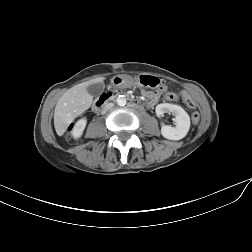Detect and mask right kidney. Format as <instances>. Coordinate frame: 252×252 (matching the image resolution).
<instances>
[{
	"instance_id": "obj_1",
	"label": "right kidney",
	"mask_w": 252,
	"mask_h": 252,
	"mask_svg": "<svg viewBox=\"0 0 252 252\" xmlns=\"http://www.w3.org/2000/svg\"><path fill=\"white\" fill-rule=\"evenodd\" d=\"M86 123V118H81L76 122L72 131L73 138L78 139L82 136Z\"/></svg>"
}]
</instances>
